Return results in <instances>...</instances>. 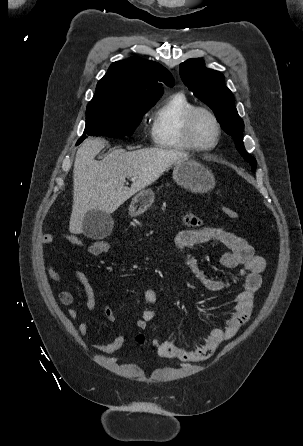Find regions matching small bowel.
Here are the masks:
<instances>
[{
	"mask_svg": "<svg viewBox=\"0 0 303 446\" xmlns=\"http://www.w3.org/2000/svg\"><path fill=\"white\" fill-rule=\"evenodd\" d=\"M184 225L185 228L174 238V247L183 265L193 277L206 290L211 292H219L228 287V283L225 281L206 276L198 267L196 259L187 252L194 246L202 245L210 241H217L226 249V252L220 258L221 265L228 269L239 268L242 286V290L235 297L233 312L224 320L222 326L214 327L210 331L200 346L187 348L169 341L159 342L155 340L153 342L158 354L163 358L197 362L212 356L221 343L232 339L250 319L254 307V295L261 286V274L265 270L266 262L263 257L255 254L254 248L244 238L233 232L221 227L205 226L199 218L191 214L184 217ZM63 237L69 243L85 248L88 252L93 251L98 245L97 241L87 245L77 235L72 233H64ZM40 240L44 245L51 244L53 242V236L50 233H44ZM48 273L50 278L56 283L62 281L60 273L50 265L48 266ZM75 277L85 292L88 308L91 310L95 309V293L85 274L77 271ZM58 298L64 306H70L74 301L73 294L68 290L61 291ZM144 298L147 307L142 312L141 318L136 322V327L141 330L146 329L155 317L154 306L158 299L157 291L153 288L147 289L144 292ZM104 313L108 321H115V314L110 306L105 307ZM68 316L71 319H77L79 318V312L74 308H70L68 310ZM77 330L80 335H86L90 331V324L82 322L78 325ZM124 342V337L119 336L108 342L97 341L92 344V347L102 353L110 354L120 349L124 345Z\"/></svg>",
	"mask_w": 303,
	"mask_h": 446,
	"instance_id": "1",
	"label": "small bowel"
}]
</instances>
